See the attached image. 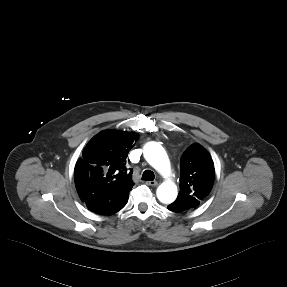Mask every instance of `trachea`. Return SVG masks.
I'll use <instances>...</instances> for the list:
<instances>
[{"instance_id": "1", "label": "trachea", "mask_w": 287, "mask_h": 287, "mask_svg": "<svg viewBox=\"0 0 287 287\" xmlns=\"http://www.w3.org/2000/svg\"><path fill=\"white\" fill-rule=\"evenodd\" d=\"M155 178V175L153 171L151 170H145L142 174V180L144 181H153Z\"/></svg>"}]
</instances>
